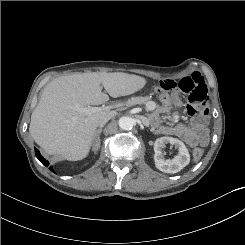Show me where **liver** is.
<instances>
[{
    "mask_svg": "<svg viewBox=\"0 0 245 245\" xmlns=\"http://www.w3.org/2000/svg\"><path fill=\"white\" fill-rule=\"evenodd\" d=\"M144 77L123 72L76 73L55 78L46 87L31 115L29 132L48 154L67 160L86 157L96 129L110 112L103 108L91 114L76 109L100 105L111 97L133 94L146 85Z\"/></svg>",
    "mask_w": 245,
    "mask_h": 245,
    "instance_id": "1",
    "label": "liver"
}]
</instances>
